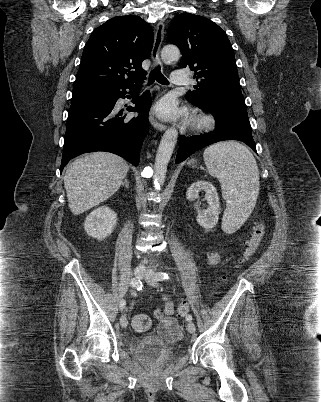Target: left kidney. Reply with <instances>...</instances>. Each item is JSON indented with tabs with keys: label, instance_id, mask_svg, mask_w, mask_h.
I'll return each mask as SVG.
<instances>
[{
	"label": "left kidney",
	"instance_id": "1",
	"mask_svg": "<svg viewBox=\"0 0 321 402\" xmlns=\"http://www.w3.org/2000/svg\"><path fill=\"white\" fill-rule=\"evenodd\" d=\"M201 191L205 192V200L208 202V207L205 210H201L199 204L196 203L194 205L195 209L197 210L196 220L203 228L212 229L217 224L221 211L219 196L216 188L210 182L198 180L191 184L186 192V198L189 201H195L199 198V192ZM245 221L246 219L243 221V223Z\"/></svg>",
	"mask_w": 321,
	"mask_h": 402
}]
</instances>
